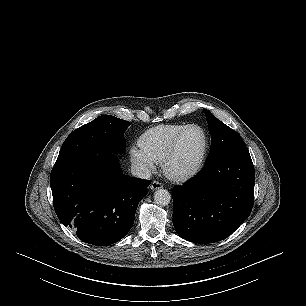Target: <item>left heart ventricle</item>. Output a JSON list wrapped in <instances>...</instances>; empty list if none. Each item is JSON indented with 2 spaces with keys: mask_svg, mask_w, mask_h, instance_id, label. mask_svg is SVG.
Here are the masks:
<instances>
[{
  "mask_svg": "<svg viewBox=\"0 0 306 306\" xmlns=\"http://www.w3.org/2000/svg\"><path fill=\"white\" fill-rule=\"evenodd\" d=\"M204 148V137L200 130L190 129L183 137L173 169L183 171L193 167L199 160Z\"/></svg>",
  "mask_w": 306,
  "mask_h": 306,
  "instance_id": "left-heart-ventricle-1",
  "label": "left heart ventricle"
}]
</instances>
